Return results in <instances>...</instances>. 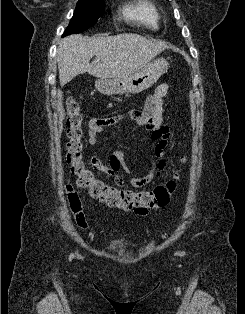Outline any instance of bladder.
<instances>
[{"label":"bladder","mask_w":245,"mask_h":314,"mask_svg":"<svg viewBox=\"0 0 245 314\" xmlns=\"http://www.w3.org/2000/svg\"><path fill=\"white\" fill-rule=\"evenodd\" d=\"M126 247L125 242H116L108 246V251L113 254H118L123 252Z\"/></svg>","instance_id":"bladder-1"}]
</instances>
